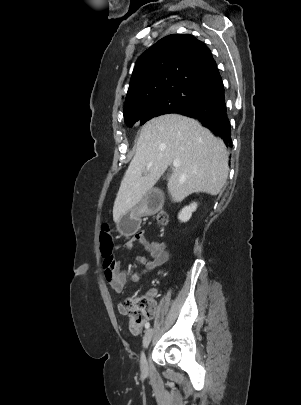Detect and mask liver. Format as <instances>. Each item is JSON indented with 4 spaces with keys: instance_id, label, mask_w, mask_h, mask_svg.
<instances>
[{
    "instance_id": "1",
    "label": "liver",
    "mask_w": 301,
    "mask_h": 405,
    "mask_svg": "<svg viewBox=\"0 0 301 405\" xmlns=\"http://www.w3.org/2000/svg\"><path fill=\"white\" fill-rule=\"evenodd\" d=\"M174 160L181 162L168 181L174 202L197 192L217 195L227 180L228 154L221 139L192 118L177 114L153 118L142 127L122 179L113 207L115 223L138 204Z\"/></svg>"
}]
</instances>
